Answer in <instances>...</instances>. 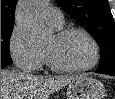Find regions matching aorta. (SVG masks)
<instances>
[{
	"instance_id": "762f6f07",
	"label": "aorta",
	"mask_w": 115,
	"mask_h": 99,
	"mask_svg": "<svg viewBox=\"0 0 115 99\" xmlns=\"http://www.w3.org/2000/svg\"><path fill=\"white\" fill-rule=\"evenodd\" d=\"M47 0H25L20 2L16 11L17 25L31 48L44 46L49 31L42 19Z\"/></svg>"
}]
</instances>
